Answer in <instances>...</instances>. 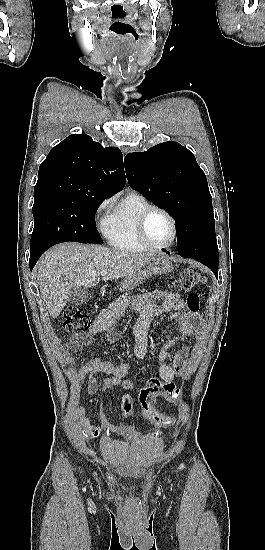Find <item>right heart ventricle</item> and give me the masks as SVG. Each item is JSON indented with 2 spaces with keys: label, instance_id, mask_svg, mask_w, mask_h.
<instances>
[{
  "label": "right heart ventricle",
  "instance_id": "obj_1",
  "mask_svg": "<svg viewBox=\"0 0 265 550\" xmlns=\"http://www.w3.org/2000/svg\"><path fill=\"white\" fill-rule=\"evenodd\" d=\"M151 203L137 192H128L104 220L103 232L108 243L121 252H143L148 248L140 241L137 221Z\"/></svg>",
  "mask_w": 265,
  "mask_h": 550
}]
</instances>
